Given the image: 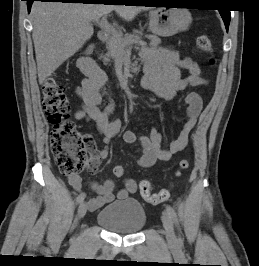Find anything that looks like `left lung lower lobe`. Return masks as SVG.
Returning a JSON list of instances; mask_svg holds the SVG:
<instances>
[{"instance_id":"obj_1","label":"left lung lower lobe","mask_w":259,"mask_h":266,"mask_svg":"<svg viewBox=\"0 0 259 266\" xmlns=\"http://www.w3.org/2000/svg\"><path fill=\"white\" fill-rule=\"evenodd\" d=\"M149 3H165V2H163V1L146 2V4H149ZM219 11H220L221 16H222V19H223V21H224V24H225L226 30L228 31V27H229V23H230V19H231L230 11H229V10H226V9H221V10H219Z\"/></svg>"}]
</instances>
